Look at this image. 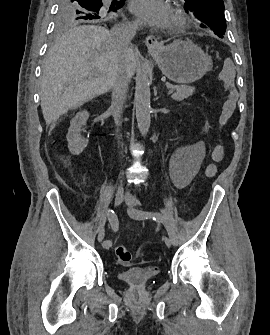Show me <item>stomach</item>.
I'll return each instance as SVG.
<instances>
[{"instance_id":"obj_1","label":"stomach","mask_w":270,"mask_h":335,"mask_svg":"<svg viewBox=\"0 0 270 335\" xmlns=\"http://www.w3.org/2000/svg\"><path fill=\"white\" fill-rule=\"evenodd\" d=\"M148 50L162 74L176 84H191L212 70L210 56L188 38Z\"/></svg>"}]
</instances>
